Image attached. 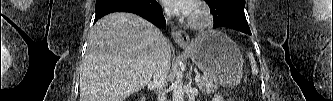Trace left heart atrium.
I'll use <instances>...</instances> for the list:
<instances>
[{
    "instance_id": "39dd6f15",
    "label": "left heart atrium",
    "mask_w": 333,
    "mask_h": 101,
    "mask_svg": "<svg viewBox=\"0 0 333 101\" xmlns=\"http://www.w3.org/2000/svg\"><path fill=\"white\" fill-rule=\"evenodd\" d=\"M163 4L166 10L173 14L189 16L194 11V2L192 0H165Z\"/></svg>"
}]
</instances>
